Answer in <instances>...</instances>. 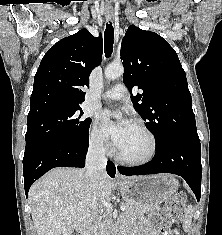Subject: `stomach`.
Wrapping results in <instances>:
<instances>
[{"label":"stomach","mask_w":222,"mask_h":235,"mask_svg":"<svg viewBox=\"0 0 222 235\" xmlns=\"http://www.w3.org/2000/svg\"><path fill=\"white\" fill-rule=\"evenodd\" d=\"M178 186L176 179L169 175L143 176L120 183L126 202L139 208L162 203L176 192Z\"/></svg>","instance_id":"stomach-1"}]
</instances>
